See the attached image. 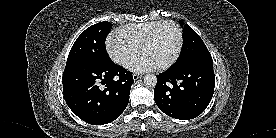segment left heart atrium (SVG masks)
<instances>
[{
	"label": "left heart atrium",
	"instance_id": "obj_1",
	"mask_svg": "<svg viewBox=\"0 0 276 138\" xmlns=\"http://www.w3.org/2000/svg\"><path fill=\"white\" fill-rule=\"evenodd\" d=\"M159 66L147 55L140 56L131 66L132 70L145 72L157 69Z\"/></svg>",
	"mask_w": 276,
	"mask_h": 138
}]
</instances>
